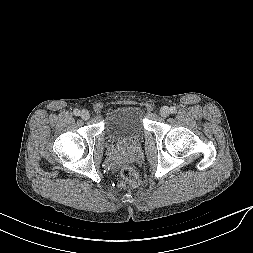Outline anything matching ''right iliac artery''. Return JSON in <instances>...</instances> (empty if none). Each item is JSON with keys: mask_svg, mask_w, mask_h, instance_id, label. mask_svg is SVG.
<instances>
[{"mask_svg": "<svg viewBox=\"0 0 253 253\" xmlns=\"http://www.w3.org/2000/svg\"><path fill=\"white\" fill-rule=\"evenodd\" d=\"M73 113H74V115L79 116V115H80V110L75 109V110L73 111Z\"/></svg>", "mask_w": 253, "mask_h": 253, "instance_id": "82829eb1", "label": "right iliac artery"}]
</instances>
